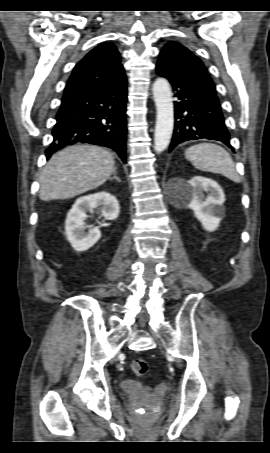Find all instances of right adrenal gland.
I'll return each instance as SVG.
<instances>
[{
	"label": "right adrenal gland",
	"instance_id": "obj_1",
	"mask_svg": "<svg viewBox=\"0 0 270 453\" xmlns=\"http://www.w3.org/2000/svg\"><path fill=\"white\" fill-rule=\"evenodd\" d=\"M116 180L118 182H121L120 178L117 176V170L115 168L114 172H113V176L111 178H109L110 181H113V180Z\"/></svg>",
	"mask_w": 270,
	"mask_h": 453
}]
</instances>
